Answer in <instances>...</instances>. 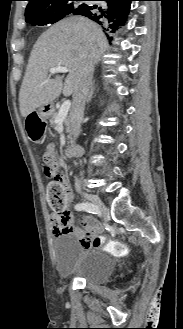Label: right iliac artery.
<instances>
[{"label": "right iliac artery", "instance_id": "1", "mask_svg": "<svg viewBox=\"0 0 183 329\" xmlns=\"http://www.w3.org/2000/svg\"><path fill=\"white\" fill-rule=\"evenodd\" d=\"M75 210L86 211L88 213L100 215V212L97 209V207L94 204L89 203V202H83V203H79V204L75 205Z\"/></svg>", "mask_w": 183, "mask_h": 329}]
</instances>
